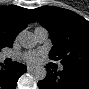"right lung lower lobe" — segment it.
I'll list each match as a JSON object with an SVG mask.
<instances>
[{"label": "right lung lower lobe", "mask_w": 89, "mask_h": 89, "mask_svg": "<svg viewBox=\"0 0 89 89\" xmlns=\"http://www.w3.org/2000/svg\"><path fill=\"white\" fill-rule=\"evenodd\" d=\"M0 70V86L2 89H15L19 77L27 71L25 65L14 62L10 66L2 65Z\"/></svg>", "instance_id": "1"}]
</instances>
